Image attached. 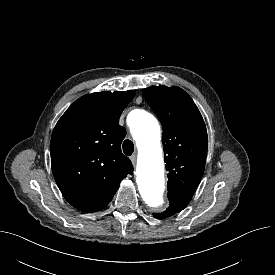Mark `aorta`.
<instances>
[{
  "mask_svg": "<svg viewBox=\"0 0 275 275\" xmlns=\"http://www.w3.org/2000/svg\"><path fill=\"white\" fill-rule=\"evenodd\" d=\"M133 118L135 123L132 132L140 156L138 189L148 208L154 212H161L167 204L164 198V161L160 147V126L153 115L143 110L135 111Z\"/></svg>",
  "mask_w": 275,
  "mask_h": 275,
  "instance_id": "1",
  "label": "aorta"
}]
</instances>
